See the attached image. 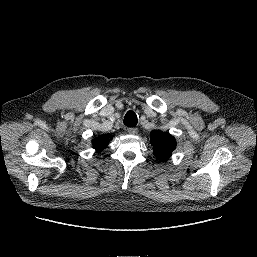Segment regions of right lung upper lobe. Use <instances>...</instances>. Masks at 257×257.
Returning a JSON list of instances; mask_svg holds the SVG:
<instances>
[{"label": "right lung upper lobe", "instance_id": "obj_1", "mask_svg": "<svg viewBox=\"0 0 257 257\" xmlns=\"http://www.w3.org/2000/svg\"><path fill=\"white\" fill-rule=\"evenodd\" d=\"M110 139H112V136L109 134L101 135L98 138H95L92 141L93 148H95L97 151L103 150L109 143Z\"/></svg>", "mask_w": 257, "mask_h": 257}]
</instances>
